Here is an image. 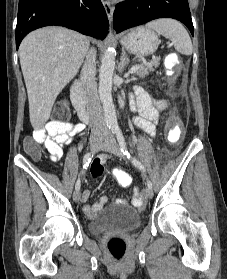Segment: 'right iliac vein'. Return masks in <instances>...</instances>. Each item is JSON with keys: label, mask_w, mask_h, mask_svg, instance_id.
<instances>
[{"label": "right iliac vein", "mask_w": 227, "mask_h": 279, "mask_svg": "<svg viewBox=\"0 0 227 279\" xmlns=\"http://www.w3.org/2000/svg\"><path fill=\"white\" fill-rule=\"evenodd\" d=\"M101 143H102V139H95V140H91L90 141V150L92 153H96L100 146H101ZM80 197H81V194H80V191L79 190H76L74 193H73V200L75 202H79L80 200Z\"/></svg>", "instance_id": "obj_1"}]
</instances>
